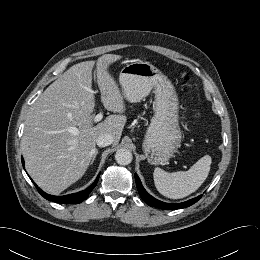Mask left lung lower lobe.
<instances>
[{"label":"left lung lower lobe","mask_w":260,"mask_h":260,"mask_svg":"<svg viewBox=\"0 0 260 260\" xmlns=\"http://www.w3.org/2000/svg\"><path fill=\"white\" fill-rule=\"evenodd\" d=\"M135 180H136V186L138 189V192L140 194V196L142 197V199L149 205V206H153V207H157L160 209H164V210H172V209H181L184 207H189L190 205L196 203L202 195L193 198L189 201L183 202V203H178V204H170V203H164L161 202L155 198H153L151 195H149L145 189L143 188L139 177L135 174Z\"/></svg>","instance_id":"1"}]
</instances>
